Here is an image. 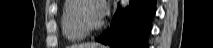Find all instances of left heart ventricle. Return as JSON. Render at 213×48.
Masks as SVG:
<instances>
[{
    "label": "left heart ventricle",
    "instance_id": "left-heart-ventricle-1",
    "mask_svg": "<svg viewBox=\"0 0 213 48\" xmlns=\"http://www.w3.org/2000/svg\"><path fill=\"white\" fill-rule=\"evenodd\" d=\"M82 14L86 19L87 23L93 25L100 21L96 12V4L94 2H89L86 4L82 10Z\"/></svg>",
    "mask_w": 213,
    "mask_h": 48
}]
</instances>
